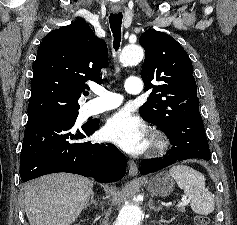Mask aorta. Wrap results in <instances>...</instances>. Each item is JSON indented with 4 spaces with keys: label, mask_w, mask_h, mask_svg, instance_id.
I'll return each mask as SVG.
<instances>
[{
    "label": "aorta",
    "mask_w": 237,
    "mask_h": 225,
    "mask_svg": "<svg viewBox=\"0 0 237 225\" xmlns=\"http://www.w3.org/2000/svg\"><path fill=\"white\" fill-rule=\"evenodd\" d=\"M143 57L144 51L140 46L128 45L123 48L119 60L125 65H135L141 62ZM141 220L142 210L138 204H126L119 211L114 225H140Z\"/></svg>",
    "instance_id": "762f6f07"
}]
</instances>
